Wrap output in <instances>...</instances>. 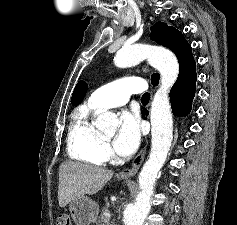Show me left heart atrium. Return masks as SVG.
Instances as JSON below:
<instances>
[{
  "label": "left heart atrium",
  "mask_w": 237,
  "mask_h": 225,
  "mask_svg": "<svg viewBox=\"0 0 237 225\" xmlns=\"http://www.w3.org/2000/svg\"><path fill=\"white\" fill-rule=\"evenodd\" d=\"M141 139L140 120L136 114L123 112L120 127L114 138L115 152L123 157L132 155L139 146Z\"/></svg>",
  "instance_id": "1"
}]
</instances>
